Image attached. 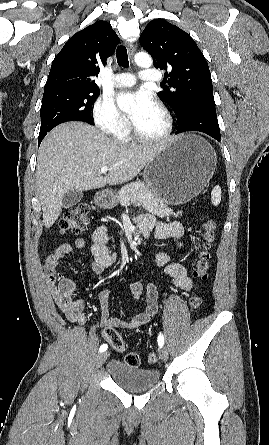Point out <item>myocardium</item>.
I'll list each match as a JSON object with an SVG mask.
<instances>
[{
  "instance_id": "myocardium-1",
  "label": "myocardium",
  "mask_w": 269,
  "mask_h": 445,
  "mask_svg": "<svg viewBox=\"0 0 269 445\" xmlns=\"http://www.w3.org/2000/svg\"><path fill=\"white\" fill-rule=\"evenodd\" d=\"M155 106L159 109V111L164 117L165 120L164 129L157 135L148 136L141 133L134 124H131V129L134 137L141 142L154 143V142L164 141L170 136L173 130V118L167 107L160 102H156Z\"/></svg>"
}]
</instances>
